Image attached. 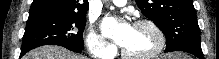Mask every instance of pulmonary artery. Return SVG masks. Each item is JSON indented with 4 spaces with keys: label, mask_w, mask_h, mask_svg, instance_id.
I'll return each instance as SVG.
<instances>
[{
    "label": "pulmonary artery",
    "mask_w": 219,
    "mask_h": 59,
    "mask_svg": "<svg viewBox=\"0 0 219 59\" xmlns=\"http://www.w3.org/2000/svg\"><path fill=\"white\" fill-rule=\"evenodd\" d=\"M112 3L117 5V6H124L127 3V1H125V0H113Z\"/></svg>",
    "instance_id": "pulmonary-artery-1"
}]
</instances>
